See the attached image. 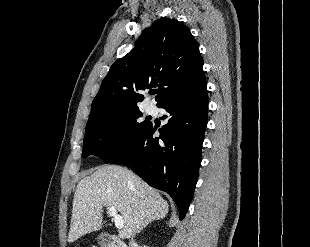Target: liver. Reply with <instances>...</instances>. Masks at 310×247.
Returning <instances> with one entry per match:
<instances>
[{"label":"liver","mask_w":310,"mask_h":247,"mask_svg":"<svg viewBox=\"0 0 310 247\" xmlns=\"http://www.w3.org/2000/svg\"><path fill=\"white\" fill-rule=\"evenodd\" d=\"M114 206L124 227L119 238L129 239L154 220L163 219L169 205L161 195L127 168L100 166L77 185L68 242L101 228L103 208Z\"/></svg>","instance_id":"6515ba94"}]
</instances>
